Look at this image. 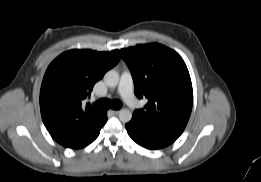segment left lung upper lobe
<instances>
[{
    "label": "left lung upper lobe",
    "instance_id": "1",
    "mask_svg": "<svg viewBox=\"0 0 261 182\" xmlns=\"http://www.w3.org/2000/svg\"><path fill=\"white\" fill-rule=\"evenodd\" d=\"M138 98L146 97L144 109L133 113L140 127L180 136L192 110L193 90L186 64L180 55L161 44L121 49Z\"/></svg>",
    "mask_w": 261,
    "mask_h": 182
}]
</instances>
